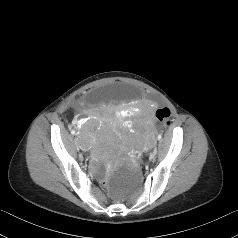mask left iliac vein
I'll list each match as a JSON object with an SVG mask.
<instances>
[{"label":"left iliac vein","mask_w":238,"mask_h":238,"mask_svg":"<svg viewBox=\"0 0 238 238\" xmlns=\"http://www.w3.org/2000/svg\"><path fill=\"white\" fill-rule=\"evenodd\" d=\"M158 148H159V145H156L154 148V151H152V153L150 154L151 159L155 158V153L157 152Z\"/></svg>","instance_id":"left-iliac-vein-1"}]
</instances>
